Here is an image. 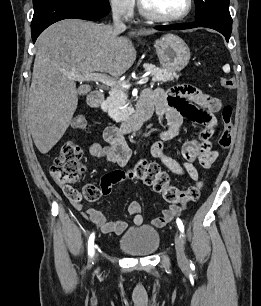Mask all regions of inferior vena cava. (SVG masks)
<instances>
[{
  "label": "inferior vena cava",
  "mask_w": 261,
  "mask_h": 306,
  "mask_svg": "<svg viewBox=\"0 0 261 306\" xmlns=\"http://www.w3.org/2000/svg\"><path fill=\"white\" fill-rule=\"evenodd\" d=\"M113 24L115 31L120 33L126 29V25L120 20V16L117 11L113 12Z\"/></svg>",
  "instance_id": "obj_1"
}]
</instances>
